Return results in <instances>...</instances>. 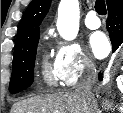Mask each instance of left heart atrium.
<instances>
[{"label": "left heart atrium", "instance_id": "obj_1", "mask_svg": "<svg viewBox=\"0 0 123 113\" xmlns=\"http://www.w3.org/2000/svg\"><path fill=\"white\" fill-rule=\"evenodd\" d=\"M90 48L92 53L97 58H103L108 55L110 51V44L106 35L102 32H96L90 36Z\"/></svg>", "mask_w": 123, "mask_h": 113}]
</instances>
